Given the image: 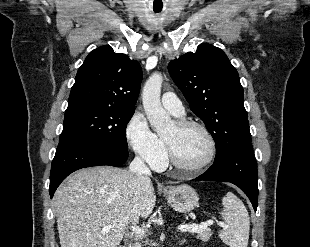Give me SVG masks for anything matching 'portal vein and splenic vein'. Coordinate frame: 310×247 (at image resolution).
Segmentation results:
<instances>
[{"label": "portal vein and splenic vein", "mask_w": 310, "mask_h": 247, "mask_svg": "<svg viewBox=\"0 0 310 247\" xmlns=\"http://www.w3.org/2000/svg\"><path fill=\"white\" fill-rule=\"evenodd\" d=\"M214 223L213 220H208L205 223L202 224H191V225H181L179 226V230L182 232H199L202 230H205L208 228V226H211ZM219 225L223 226V223H219ZM111 225H108L103 228L102 233H106L110 230ZM132 231L135 232L138 235H144V230L137 227V226H132Z\"/></svg>", "instance_id": "18ae733b"}]
</instances>
